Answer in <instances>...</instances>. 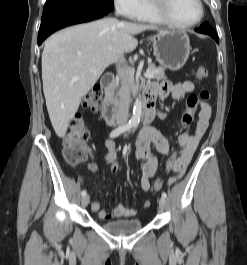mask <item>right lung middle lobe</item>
<instances>
[{
	"instance_id": "dd1d6c3e",
	"label": "right lung middle lobe",
	"mask_w": 247,
	"mask_h": 265,
	"mask_svg": "<svg viewBox=\"0 0 247 265\" xmlns=\"http://www.w3.org/2000/svg\"><path fill=\"white\" fill-rule=\"evenodd\" d=\"M106 1H108V2H112V3H113V0H106Z\"/></svg>"
}]
</instances>
